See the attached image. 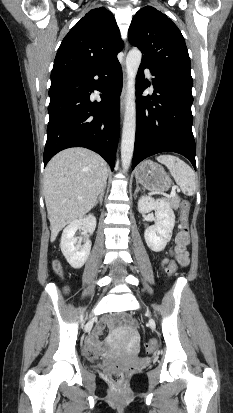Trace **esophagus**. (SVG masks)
<instances>
[{"label": "esophagus", "mask_w": 233, "mask_h": 413, "mask_svg": "<svg viewBox=\"0 0 233 413\" xmlns=\"http://www.w3.org/2000/svg\"><path fill=\"white\" fill-rule=\"evenodd\" d=\"M123 72H124V84H123L122 92H121V95H120L121 117L123 116V113H124V106H125V99H126V69H125V64H123Z\"/></svg>", "instance_id": "1"}]
</instances>
